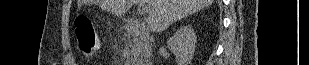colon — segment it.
Listing matches in <instances>:
<instances>
[{
	"mask_svg": "<svg viewBox=\"0 0 309 65\" xmlns=\"http://www.w3.org/2000/svg\"><path fill=\"white\" fill-rule=\"evenodd\" d=\"M75 31L82 54L87 58L93 57L100 49V42L92 21L86 16H78Z\"/></svg>",
	"mask_w": 309,
	"mask_h": 65,
	"instance_id": "1",
	"label": "colon"
}]
</instances>
